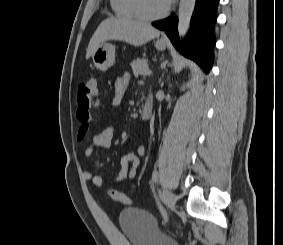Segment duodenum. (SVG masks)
I'll return each mask as SVG.
<instances>
[{
  "label": "duodenum",
  "mask_w": 283,
  "mask_h": 245,
  "mask_svg": "<svg viewBox=\"0 0 283 245\" xmlns=\"http://www.w3.org/2000/svg\"><path fill=\"white\" fill-rule=\"evenodd\" d=\"M152 112H153L152 103L150 102V100H146L141 110L142 118L144 120L150 119L152 116Z\"/></svg>",
  "instance_id": "duodenum-1"
}]
</instances>
